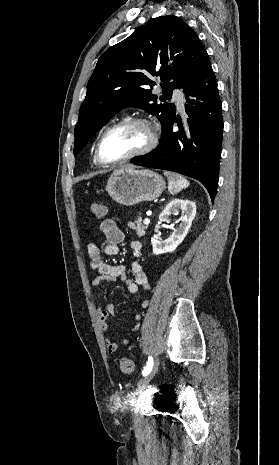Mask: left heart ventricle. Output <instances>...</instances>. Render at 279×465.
<instances>
[{
	"mask_svg": "<svg viewBox=\"0 0 279 465\" xmlns=\"http://www.w3.org/2000/svg\"><path fill=\"white\" fill-rule=\"evenodd\" d=\"M148 141V132L141 125H129L111 131L101 147L102 157L107 161L123 158L141 149Z\"/></svg>",
	"mask_w": 279,
	"mask_h": 465,
	"instance_id": "b2bd125f",
	"label": "left heart ventricle"
}]
</instances>
